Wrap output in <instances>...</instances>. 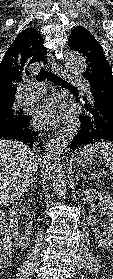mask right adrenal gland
Wrapping results in <instances>:
<instances>
[{"label":"right adrenal gland","mask_w":113,"mask_h":279,"mask_svg":"<svg viewBox=\"0 0 113 279\" xmlns=\"http://www.w3.org/2000/svg\"><path fill=\"white\" fill-rule=\"evenodd\" d=\"M37 181H38V173L35 174L32 184L36 185Z\"/></svg>","instance_id":"1"}]
</instances>
